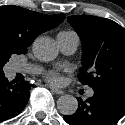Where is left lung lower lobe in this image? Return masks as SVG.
I'll list each match as a JSON object with an SVG mask.
<instances>
[{
  "mask_svg": "<svg viewBox=\"0 0 125 125\" xmlns=\"http://www.w3.org/2000/svg\"><path fill=\"white\" fill-rule=\"evenodd\" d=\"M86 101L77 98L78 109L64 116L69 125H114L125 115V88L97 87Z\"/></svg>",
  "mask_w": 125,
  "mask_h": 125,
  "instance_id": "obj_1",
  "label": "left lung lower lobe"
}]
</instances>
